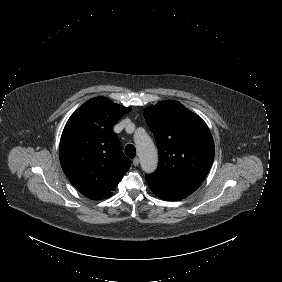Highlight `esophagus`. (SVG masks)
<instances>
[{"label":"esophagus","mask_w":282,"mask_h":282,"mask_svg":"<svg viewBox=\"0 0 282 282\" xmlns=\"http://www.w3.org/2000/svg\"><path fill=\"white\" fill-rule=\"evenodd\" d=\"M133 165L136 167V166H138L139 165V158L138 157H135L134 159H133Z\"/></svg>","instance_id":"1"}]
</instances>
